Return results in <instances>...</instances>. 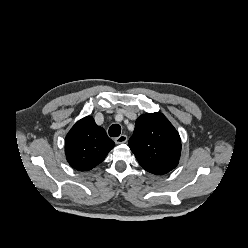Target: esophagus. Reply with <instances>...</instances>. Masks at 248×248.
<instances>
[{
	"mask_svg": "<svg viewBox=\"0 0 248 248\" xmlns=\"http://www.w3.org/2000/svg\"><path fill=\"white\" fill-rule=\"evenodd\" d=\"M116 144H122L127 142V136L126 135H120L119 137L114 139Z\"/></svg>",
	"mask_w": 248,
	"mask_h": 248,
	"instance_id": "esophagus-1",
	"label": "esophagus"
}]
</instances>
